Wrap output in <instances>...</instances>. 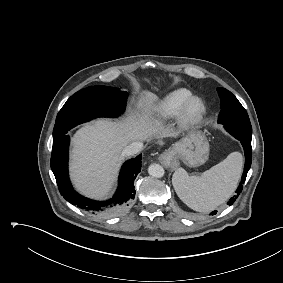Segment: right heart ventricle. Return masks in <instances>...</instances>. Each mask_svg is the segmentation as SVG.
Segmentation results:
<instances>
[{"mask_svg":"<svg viewBox=\"0 0 283 283\" xmlns=\"http://www.w3.org/2000/svg\"><path fill=\"white\" fill-rule=\"evenodd\" d=\"M190 96L189 90L177 89L162 97L153 107L155 122L160 123L177 116L183 103Z\"/></svg>","mask_w":283,"mask_h":283,"instance_id":"e07e8e85","label":"right heart ventricle"}]
</instances>
